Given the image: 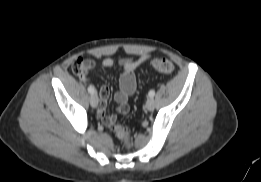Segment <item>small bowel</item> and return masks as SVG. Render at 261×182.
Here are the masks:
<instances>
[{"mask_svg": "<svg viewBox=\"0 0 261 182\" xmlns=\"http://www.w3.org/2000/svg\"><path fill=\"white\" fill-rule=\"evenodd\" d=\"M150 57L151 54L143 53L137 59L123 58L119 60L118 65L121 67L122 73L119 80V89L116 91L114 99L118 104V112L120 114H126L129 111L128 99L136 89L135 70L142 68ZM86 63L89 68H98L102 71H106L115 65L114 60L110 58L96 62L93 58L89 57L86 59ZM99 95L100 103L97 115L103 124L109 125L115 120V116L108 115L106 111V105L110 96V88L108 86H102Z\"/></svg>", "mask_w": 261, "mask_h": 182, "instance_id": "c3829d8e", "label": "small bowel"}]
</instances>
